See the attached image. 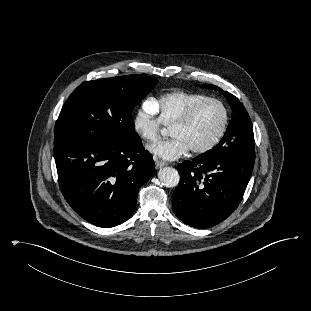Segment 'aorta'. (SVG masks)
<instances>
[{"instance_id":"obj_1","label":"aorta","mask_w":311,"mask_h":311,"mask_svg":"<svg viewBox=\"0 0 311 311\" xmlns=\"http://www.w3.org/2000/svg\"><path fill=\"white\" fill-rule=\"evenodd\" d=\"M161 133L165 134V129H162ZM158 177L161 183L168 188L176 187L180 180L178 171L172 167H164L160 169Z\"/></svg>"}]
</instances>
